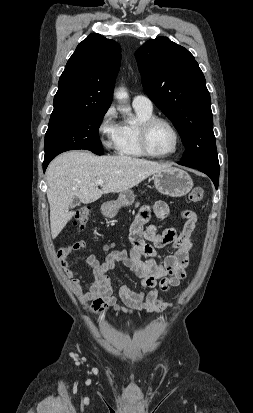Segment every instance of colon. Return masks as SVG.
I'll return each mask as SVG.
<instances>
[{
  "mask_svg": "<svg viewBox=\"0 0 253 413\" xmlns=\"http://www.w3.org/2000/svg\"><path fill=\"white\" fill-rule=\"evenodd\" d=\"M204 196V191L201 187H194L190 192L189 199L193 203H199L202 201ZM91 214V207L89 205L82 206L77 214V225L80 229L85 227L86 222Z\"/></svg>",
  "mask_w": 253,
  "mask_h": 413,
  "instance_id": "1",
  "label": "colon"
}]
</instances>
